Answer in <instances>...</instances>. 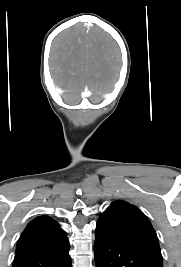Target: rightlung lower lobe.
Wrapping results in <instances>:
<instances>
[{
	"instance_id": "1",
	"label": "right lung lower lobe",
	"mask_w": 181,
	"mask_h": 267,
	"mask_svg": "<svg viewBox=\"0 0 181 267\" xmlns=\"http://www.w3.org/2000/svg\"><path fill=\"white\" fill-rule=\"evenodd\" d=\"M69 248L49 254L15 256L12 267H71Z\"/></svg>"
}]
</instances>
